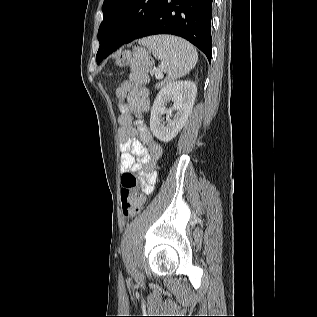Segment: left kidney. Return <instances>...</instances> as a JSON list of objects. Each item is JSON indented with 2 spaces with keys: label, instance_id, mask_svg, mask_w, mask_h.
Returning <instances> with one entry per match:
<instances>
[{
  "label": "left kidney",
  "instance_id": "left-kidney-1",
  "mask_svg": "<svg viewBox=\"0 0 317 317\" xmlns=\"http://www.w3.org/2000/svg\"><path fill=\"white\" fill-rule=\"evenodd\" d=\"M197 87L192 81H178L167 84L157 95L151 109L150 128L153 135L162 142L171 141L183 128L189 115L191 114ZM174 102L171 109H166L168 101ZM173 119L168 118L166 123H162L161 116L167 114Z\"/></svg>",
  "mask_w": 317,
  "mask_h": 317
}]
</instances>
